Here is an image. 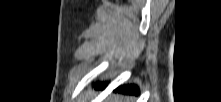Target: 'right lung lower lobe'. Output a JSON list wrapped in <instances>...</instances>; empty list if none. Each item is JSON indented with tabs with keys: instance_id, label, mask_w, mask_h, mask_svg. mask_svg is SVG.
Returning <instances> with one entry per match:
<instances>
[{
	"instance_id": "98d812e1",
	"label": "right lung lower lobe",
	"mask_w": 221,
	"mask_h": 102,
	"mask_svg": "<svg viewBox=\"0 0 221 102\" xmlns=\"http://www.w3.org/2000/svg\"><path fill=\"white\" fill-rule=\"evenodd\" d=\"M107 85V83H97L95 85V88H104ZM120 92L123 93H130V94H138V88L133 85H128V86H121L117 89Z\"/></svg>"
}]
</instances>
